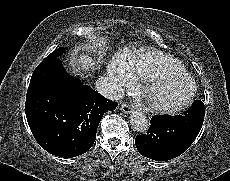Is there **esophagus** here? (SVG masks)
<instances>
[{
  "label": "esophagus",
  "mask_w": 230,
  "mask_h": 181,
  "mask_svg": "<svg viewBox=\"0 0 230 181\" xmlns=\"http://www.w3.org/2000/svg\"><path fill=\"white\" fill-rule=\"evenodd\" d=\"M121 110L125 113V114H129L132 110L131 105H129L128 103H123L121 105Z\"/></svg>",
  "instance_id": "obj_1"
}]
</instances>
